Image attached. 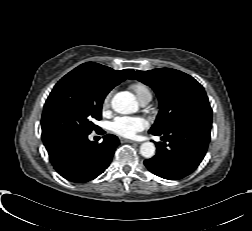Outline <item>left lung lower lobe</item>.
I'll return each mask as SVG.
<instances>
[{"label": "left lung lower lobe", "mask_w": 252, "mask_h": 231, "mask_svg": "<svg viewBox=\"0 0 252 231\" xmlns=\"http://www.w3.org/2000/svg\"><path fill=\"white\" fill-rule=\"evenodd\" d=\"M212 122L188 120L161 134L164 143L157 142V153L144 161L155 175L177 180L192 173L203 160L210 141ZM167 142V143H166Z\"/></svg>", "instance_id": "0a47b994"}]
</instances>
